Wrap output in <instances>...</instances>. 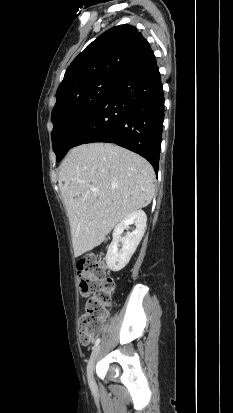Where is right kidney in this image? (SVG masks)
Segmentation results:
<instances>
[{
	"label": "right kidney",
	"instance_id": "obj_1",
	"mask_svg": "<svg viewBox=\"0 0 233 413\" xmlns=\"http://www.w3.org/2000/svg\"><path fill=\"white\" fill-rule=\"evenodd\" d=\"M147 216L142 210H137L127 217H125L113 230V240L108 247L106 254V264L112 271H119L123 269L134 254L139 245L145 230H146ZM135 224L136 228L132 232H128L125 237L121 234L130 225ZM119 242L122 243V248L119 251Z\"/></svg>",
	"mask_w": 233,
	"mask_h": 413
}]
</instances>
